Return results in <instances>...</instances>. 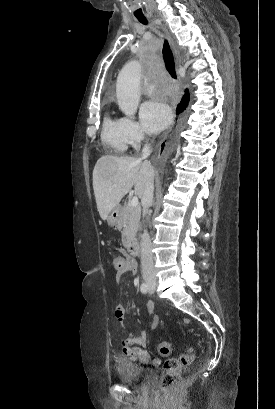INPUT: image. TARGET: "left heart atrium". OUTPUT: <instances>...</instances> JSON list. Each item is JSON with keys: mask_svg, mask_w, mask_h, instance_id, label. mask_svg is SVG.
Wrapping results in <instances>:
<instances>
[{"mask_svg": "<svg viewBox=\"0 0 275 409\" xmlns=\"http://www.w3.org/2000/svg\"><path fill=\"white\" fill-rule=\"evenodd\" d=\"M141 116L152 132L165 129L172 120L170 108L162 101H148L141 107Z\"/></svg>", "mask_w": 275, "mask_h": 409, "instance_id": "39dd6f15", "label": "left heart atrium"}]
</instances>
